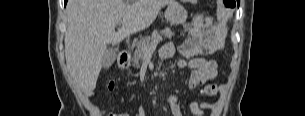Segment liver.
<instances>
[{"label":"liver","mask_w":305,"mask_h":116,"mask_svg":"<svg viewBox=\"0 0 305 116\" xmlns=\"http://www.w3.org/2000/svg\"><path fill=\"white\" fill-rule=\"evenodd\" d=\"M173 0H69L66 7L65 58L70 76L91 93L109 44L148 28ZM118 21L122 27L115 32Z\"/></svg>","instance_id":"1"}]
</instances>
